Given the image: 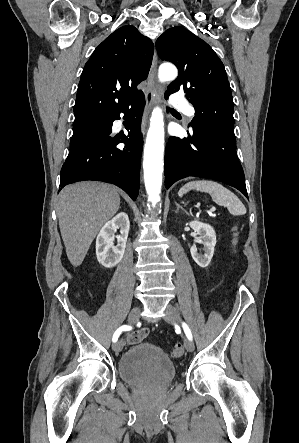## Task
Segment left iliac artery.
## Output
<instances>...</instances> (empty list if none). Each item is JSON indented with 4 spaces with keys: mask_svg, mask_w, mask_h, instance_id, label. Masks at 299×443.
Masks as SVG:
<instances>
[{
    "mask_svg": "<svg viewBox=\"0 0 299 443\" xmlns=\"http://www.w3.org/2000/svg\"><path fill=\"white\" fill-rule=\"evenodd\" d=\"M182 326H183V329H184V332H185L187 338L190 339V340H192V333H191V331H190L188 325H187L186 323L183 322V323H182Z\"/></svg>",
    "mask_w": 299,
    "mask_h": 443,
    "instance_id": "left-iliac-artery-1",
    "label": "left iliac artery"
}]
</instances>
